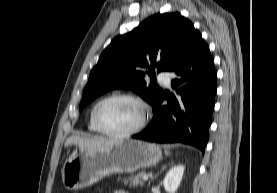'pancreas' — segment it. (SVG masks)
<instances>
[{
  "mask_svg": "<svg viewBox=\"0 0 277 193\" xmlns=\"http://www.w3.org/2000/svg\"><path fill=\"white\" fill-rule=\"evenodd\" d=\"M144 175V172H139L136 175H131L128 178H125L124 183L129 184L130 186H143L144 181L142 180V178Z\"/></svg>",
  "mask_w": 277,
  "mask_h": 193,
  "instance_id": "cf45deb5",
  "label": "pancreas"
}]
</instances>
